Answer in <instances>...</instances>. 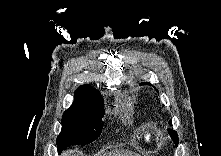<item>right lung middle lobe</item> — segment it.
I'll list each match as a JSON object with an SVG mask.
<instances>
[{"instance_id": "dd1d6c3e", "label": "right lung middle lobe", "mask_w": 221, "mask_h": 156, "mask_svg": "<svg viewBox=\"0 0 221 156\" xmlns=\"http://www.w3.org/2000/svg\"><path fill=\"white\" fill-rule=\"evenodd\" d=\"M104 105L71 106L62 118V130L57 137L58 153L71 145L86 144L96 140L103 127Z\"/></svg>"}]
</instances>
